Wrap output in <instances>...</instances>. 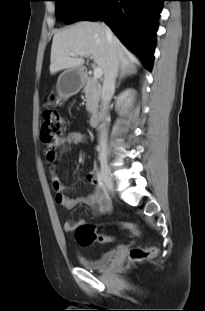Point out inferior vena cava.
I'll list each match as a JSON object with an SVG mask.
<instances>
[{"label": "inferior vena cava", "instance_id": "602c4592", "mask_svg": "<svg viewBox=\"0 0 205 311\" xmlns=\"http://www.w3.org/2000/svg\"><path fill=\"white\" fill-rule=\"evenodd\" d=\"M106 35L108 38L113 37L112 31L108 27H106ZM117 73H118V61L115 54L113 52H110L108 70L104 74L103 86L101 91L102 105L100 116L101 119L105 121H107L109 118L108 106L115 92ZM107 139H108V131L107 128L105 127V124H102L100 126L99 148L103 152H106L107 150Z\"/></svg>", "mask_w": 205, "mask_h": 311}]
</instances>
